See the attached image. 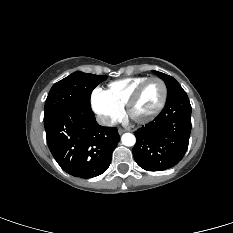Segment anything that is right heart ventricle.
<instances>
[{
	"label": "right heart ventricle",
	"mask_w": 233,
	"mask_h": 233,
	"mask_svg": "<svg viewBox=\"0 0 233 233\" xmlns=\"http://www.w3.org/2000/svg\"><path fill=\"white\" fill-rule=\"evenodd\" d=\"M147 78L142 76L116 80L109 83L104 92L112 102L123 108L134 89Z\"/></svg>",
	"instance_id": "obj_1"
}]
</instances>
